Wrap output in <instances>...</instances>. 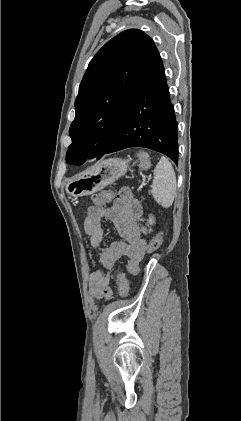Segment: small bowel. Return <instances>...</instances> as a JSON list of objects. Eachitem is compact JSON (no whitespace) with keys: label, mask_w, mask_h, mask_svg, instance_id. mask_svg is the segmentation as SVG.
<instances>
[{"label":"small bowel","mask_w":241,"mask_h":421,"mask_svg":"<svg viewBox=\"0 0 241 421\" xmlns=\"http://www.w3.org/2000/svg\"><path fill=\"white\" fill-rule=\"evenodd\" d=\"M142 206L132 195L128 187L120 189L119 194L109 208L90 207L84 220V229L89 237L91 247L99 250L100 262L103 269L94 271L90 276V290L97 300H110L113 291L110 288V271L122 257L140 261L146 250V243L142 238L145 229L141 227L139 218ZM113 223L122 240L115 241L109 246H103V221Z\"/></svg>","instance_id":"1"}]
</instances>
